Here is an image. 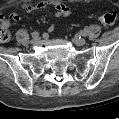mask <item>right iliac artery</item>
<instances>
[{
  "label": "right iliac artery",
  "instance_id": "1",
  "mask_svg": "<svg viewBox=\"0 0 119 119\" xmlns=\"http://www.w3.org/2000/svg\"><path fill=\"white\" fill-rule=\"evenodd\" d=\"M39 36V33L37 32V31H35V32H33L32 33V37L34 38V37H38Z\"/></svg>",
  "mask_w": 119,
  "mask_h": 119
}]
</instances>
